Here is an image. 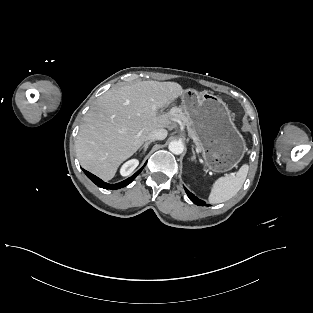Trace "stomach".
Returning <instances> with one entry per match:
<instances>
[{
    "instance_id": "0dacf381",
    "label": "stomach",
    "mask_w": 313,
    "mask_h": 313,
    "mask_svg": "<svg viewBox=\"0 0 313 313\" xmlns=\"http://www.w3.org/2000/svg\"><path fill=\"white\" fill-rule=\"evenodd\" d=\"M181 109L191 122L210 170L227 172L241 161L246 143L225 102L211 93L187 89L181 95Z\"/></svg>"
}]
</instances>
